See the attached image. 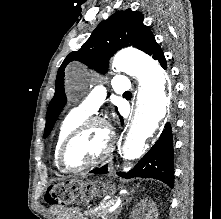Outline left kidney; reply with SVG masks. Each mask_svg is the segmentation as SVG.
Instances as JSON below:
<instances>
[{"label":"left kidney","instance_id":"5707ae66","mask_svg":"<svg viewBox=\"0 0 221 219\" xmlns=\"http://www.w3.org/2000/svg\"><path fill=\"white\" fill-rule=\"evenodd\" d=\"M131 218L158 219V211L156 208V204L148 198L141 200L133 210Z\"/></svg>","mask_w":221,"mask_h":219}]
</instances>
